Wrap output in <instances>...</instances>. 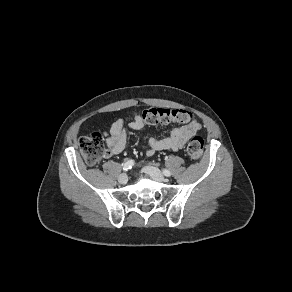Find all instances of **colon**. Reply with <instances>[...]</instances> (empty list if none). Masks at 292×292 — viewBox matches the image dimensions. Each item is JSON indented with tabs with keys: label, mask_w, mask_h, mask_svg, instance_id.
<instances>
[{
	"label": "colon",
	"mask_w": 292,
	"mask_h": 292,
	"mask_svg": "<svg viewBox=\"0 0 292 292\" xmlns=\"http://www.w3.org/2000/svg\"><path fill=\"white\" fill-rule=\"evenodd\" d=\"M184 110H170L162 108H152L142 113L143 118L149 124L183 122L185 117ZM79 148L87 164H96L105 154L103 138L100 133L81 137L79 139ZM204 151V141L200 136L193 137L187 146V154L193 160L201 158Z\"/></svg>",
	"instance_id": "obj_1"
}]
</instances>
